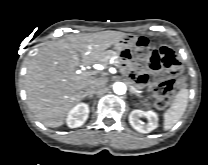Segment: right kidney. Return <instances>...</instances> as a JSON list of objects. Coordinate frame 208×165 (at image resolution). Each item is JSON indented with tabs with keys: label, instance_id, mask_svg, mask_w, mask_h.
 Instances as JSON below:
<instances>
[{
	"label": "right kidney",
	"instance_id": "1",
	"mask_svg": "<svg viewBox=\"0 0 208 165\" xmlns=\"http://www.w3.org/2000/svg\"><path fill=\"white\" fill-rule=\"evenodd\" d=\"M89 115V106L85 103H79L73 107L66 119V123L70 128H77L82 126Z\"/></svg>",
	"mask_w": 208,
	"mask_h": 165
}]
</instances>
